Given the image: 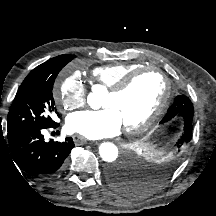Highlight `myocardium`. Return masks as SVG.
<instances>
[{
  "label": "myocardium",
  "instance_id": "f54148a6",
  "mask_svg": "<svg viewBox=\"0 0 216 216\" xmlns=\"http://www.w3.org/2000/svg\"><path fill=\"white\" fill-rule=\"evenodd\" d=\"M156 72L162 78L164 82V92L162 98L157 107L140 123L133 126H125L124 131L127 134H138L148 130L165 112L170 96H171V85L166 74L158 67L145 66L141 67L126 76H124L115 86L108 90L110 95H121L129 89L132 83L137 77L146 72Z\"/></svg>",
  "mask_w": 216,
  "mask_h": 216
}]
</instances>
